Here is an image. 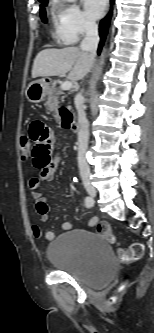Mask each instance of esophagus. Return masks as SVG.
<instances>
[{"mask_svg":"<svg viewBox=\"0 0 154 333\" xmlns=\"http://www.w3.org/2000/svg\"><path fill=\"white\" fill-rule=\"evenodd\" d=\"M110 11V4H108L107 8H106V11L104 13V17L109 13Z\"/></svg>","mask_w":154,"mask_h":333,"instance_id":"34e87169","label":"esophagus"}]
</instances>
